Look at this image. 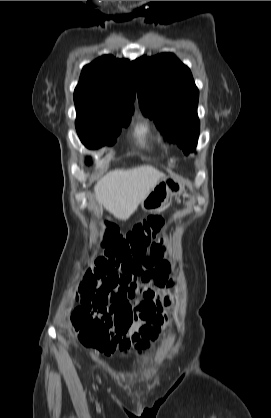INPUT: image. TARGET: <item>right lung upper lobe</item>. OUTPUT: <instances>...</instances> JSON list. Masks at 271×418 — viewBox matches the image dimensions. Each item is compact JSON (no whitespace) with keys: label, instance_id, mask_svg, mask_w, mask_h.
<instances>
[{"label":"right lung upper lobe","instance_id":"obj_1","mask_svg":"<svg viewBox=\"0 0 271 418\" xmlns=\"http://www.w3.org/2000/svg\"><path fill=\"white\" fill-rule=\"evenodd\" d=\"M134 100V79L129 60L111 55L86 65L74 91L76 108L100 114H132Z\"/></svg>","mask_w":271,"mask_h":418}]
</instances>
